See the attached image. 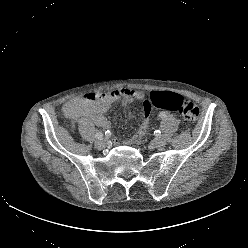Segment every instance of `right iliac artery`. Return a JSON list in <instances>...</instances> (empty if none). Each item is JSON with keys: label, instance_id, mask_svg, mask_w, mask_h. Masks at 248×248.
Returning <instances> with one entry per match:
<instances>
[{"label": "right iliac artery", "instance_id": "1", "mask_svg": "<svg viewBox=\"0 0 248 248\" xmlns=\"http://www.w3.org/2000/svg\"><path fill=\"white\" fill-rule=\"evenodd\" d=\"M95 137H96L97 139H100V138L103 137V133H102V132H97L96 135H95Z\"/></svg>", "mask_w": 248, "mask_h": 248}]
</instances>
